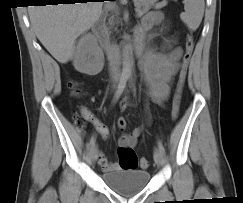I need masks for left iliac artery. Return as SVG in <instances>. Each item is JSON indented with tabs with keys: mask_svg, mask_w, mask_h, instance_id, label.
<instances>
[{
	"mask_svg": "<svg viewBox=\"0 0 243 203\" xmlns=\"http://www.w3.org/2000/svg\"><path fill=\"white\" fill-rule=\"evenodd\" d=\"M130 83H132V81L130 80ZM158 148L159 150L164 153L165 149H164V146L162 144V142L160 140H158Z\"/></svg>",
	"mask_w": 243,
	"mask_h": 203,
	"instance_id": "obj_1",
	"label": "left iliac artery"
}]
</instances>
